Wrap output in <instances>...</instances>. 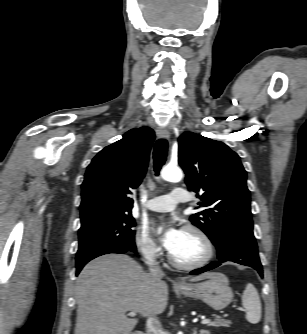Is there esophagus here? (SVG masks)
Listing matches in <instances>:
<instances>
[{
	"instance_id": "1",
	"label": "esophagus",
	"mask_w": 307,
	"mask_h": 334,
	"mask_svg": "<svg viewBox=\"0 0 307 334\" xmlns=\"http://www.w3.org/2000/svg\"><path fill=\"white\" fill-rule=\"evenodd\" d=\"M156 134H157V136H158L159 138H161V139H166V140H168V139H169V136H170L169 130H168V128H166V127H158V128L156 129ZM175 285H176V286H184V283H182V282H178V283H176Z\"/></svg>"
}]
</instances>
